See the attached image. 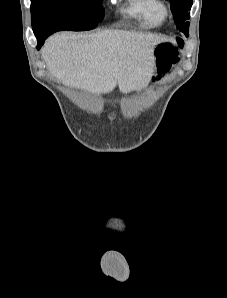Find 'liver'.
Wrapping results in <instances>:
<instances>
[{"mask_svg":"<svg viewBox=\"0 0 227 298\" xmlns=\"http://www.w3.org/2000/svg\"><path fill=\"white\" fill-rule=\"evenodd\" d=\"M168 41L157 34L125 30L62 32L42 49L48 71L65 85L106 94L118 85L122 93L141 91L155 69L154 48Z\"/></svg>","mask_w":227,"mask_h":298,"instance_id":"1","label":"liver"}]
</instances>
